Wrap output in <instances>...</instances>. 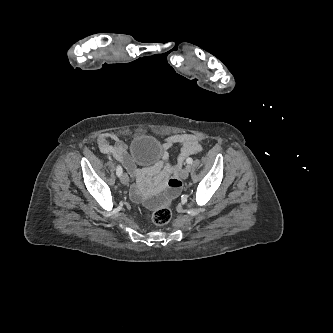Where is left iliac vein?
I'll return each mask as SVG.
<instances>
[{
	"mask_svg": "<svg viewBox=\"0 0 333 333\" xmlns=\"http://www.w3.org/2000/svg\"><path fill=\"white\" fill-rule=\"evenodd\" d=\"M189 176V166H187L186 168L182 169L180 172V177L185 180L187 179Z\"/></svg>",
	"mask_w": 333,
	"mask_h": 333,
	"instance_id": "left-iliac-vein-1",
	"label": "left iliac vein"
}]
</instances>
